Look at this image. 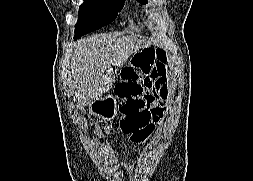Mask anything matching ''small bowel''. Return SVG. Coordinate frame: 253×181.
<instances>
[{
    "label": "small bowel",
    "instance_id": "small-bowel-1",
    "mask_svg": "<svg viewBox=\"0 0 253 181\" xmlns=\"http://www.w3.org/2000/svg\"><path fill=\"white\" fill-rule=\"evenodd\" d=\"M144 85L149 97L156 96L159 99V115H163L169 96V78L166 67L155 59H152L149 69L145 74Z\"/></svg>",
    "mask_w": 253,
    "mask_h": 181
}]
</instances>
